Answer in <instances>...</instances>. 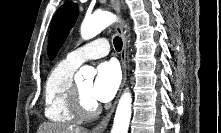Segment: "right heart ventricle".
Here are the masks:
<instances>
[{"label":"right heart ventricle","instance_id":"e07e8e85","mask_svg":"<svg viewBox=\"0 0 221 133\" xmlns=\"http://www.w3.org/2000/svg\"><path fill=\"white\" fill-rule=\"evenodd\" d=\"M77 67L65 59L57 63L47 76L44 86V114L54 123L69 125L77 120L70 107V92Z\"/></svg>","mask_w":221,"mask_h":133}]
</instances>
